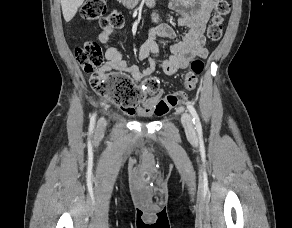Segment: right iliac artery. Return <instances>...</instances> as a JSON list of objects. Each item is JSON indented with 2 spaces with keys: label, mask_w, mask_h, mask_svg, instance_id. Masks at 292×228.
<instances>
[{
  "label": "right iliac artery",
  "mask_w": 292,
  "mask_h": 228,
  "mask_svg": "<svg viewBox=\"0 0 292 228\" xmlns=\"http://www.w3.org/2000/svg\"><path fill=\"white\" fill-rule=\"evenodd\" d=\"M95 117H96V114H93L90 118V126H89V132L92 133L93 132V129H94V126H95Z\"/></svg>",
  "instance_id": "1"
}]
</instances>
